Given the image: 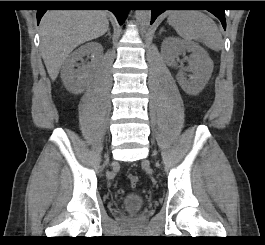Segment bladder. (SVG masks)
I'll return each instance as SVG.
<instances>
[{
    "instance_id": "obj_1",
    "label": "bladder",
    "mask_w": 265,
    "mask_h": 245,
    "mask_svg": "<svg viewBox=\"0 0 265 245\" xmlns=\"http://www.w3.org/2000/svg\"><path fill=\"white\" fill-rule=\"evenodd\" d=\"M145 205L144 198L138 193H128L122 201V208L126 212H136Z\"/></svg>"
}]
</instances>
